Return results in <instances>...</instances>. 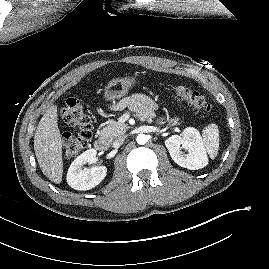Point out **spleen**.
I'll list each match as a JSON object with an SVG mask.
<instances>
[{
    "label": "spleen",
    "instance_id": "1",
    "mask_svg": "<svg viewBox=\"0 0 269 269\" xmlns=\"http://www.w3.org/2000/svg\"><path fill=\"white\" fill-rule=\"evenodd\" d=\"M203 143L211 159L217 156L219 149V129L211 123L203 129Z\"/></svg>",
    "mask_w": 269,
    "mask_h": 269
}]
</instances>
